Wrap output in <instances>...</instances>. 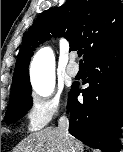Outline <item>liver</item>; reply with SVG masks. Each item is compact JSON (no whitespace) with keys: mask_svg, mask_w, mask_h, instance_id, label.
I'll return each instance as SVG.
<instances>
[{"mask_svg":"<svg viewBox=\"0 0 123 152\" xmlns=\"http://www.w3.org/2000/svg\"><path fill=\"white\" fill-rule=\"evenodd\" d=\"M83 152L81 142L70 136L67 140L58 128H46L24 138L13 152Z\"/></svg>","mask_w":123,"mask_h":152,"instance_id":"6515ba94","label":"liver"}]
</instances>
